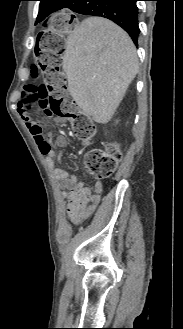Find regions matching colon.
Listing matches in <instances>:
<instances>
[{"label":"colon","instance_id":"obj_1","mask_svg":"<svg viewBox=\"0 0 183 329\" xmlns=\"http://www.w3.org/2000/svg\"><path fill=\"white\" fill-rule=\"evenodd\" d=\"M44 25H38L34 38L31 66H29L27 86H22L19 114H40L45 118L53 116L70 120L74 134L82 141H89L95 127L87 115L80 112L68 92L67 74L61 70L63 38H76L80 26L79 14H47ZM40 149L46 153L50 149L47 139L41 141ZM122 160V151L117 143H107L102 148L87 152L84 158L86 168L96 179H107L115 172ZM71 201L80 203L77 191L69 193Z\"/></svg>","mask_w":183,"mask_h":329}]
</instances>
